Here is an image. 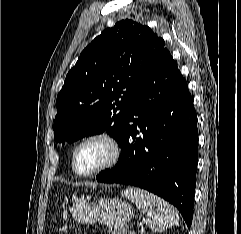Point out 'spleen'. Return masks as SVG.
<instances>
[{"label":"spleen","mask_w":241,"mask_h":234,"mask_svg":"<svg viewBox=\"0 0 241 234\" xmlns=\"http://www.w3.org/2000/svg\"><path fill=\"white\" fill-rule=\"evenodd\" d=\"M121 194L133 201L137 208L146 214L152 231L162 232L172 226H179V217L174 208L153 193L136 187H128Z\"/></svg>","instance_id":"1"}]
</instances>
